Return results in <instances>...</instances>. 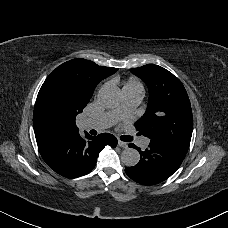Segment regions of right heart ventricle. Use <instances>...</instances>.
<instances>
[{
	"mask_svg": "<svg viewBox=\"0 0 228 228\" xmlns=\"http://www.w3.org/2000/svg\"><path fill=\"white\" fill-rule=\"evenodd\" d=\"M138 85L139 82L133 76L128 77L126 80H122L118 75H113L109 78V89L114 90L118 96L126 95L130 88Z\"/></svg>",
	"mask_w": 228,
	"mask_h": 228,
	"instance_id": "1",
	"label": "right heart ventricle"
}]
</instances>
